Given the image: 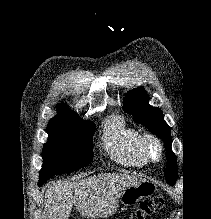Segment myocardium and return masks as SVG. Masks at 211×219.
Returning <instances> with one entry per match:
<instances>
[{"mask_svg":"<svg viewBox=\"0 0 211 219\" xmlns=\"http://www.w3.org/2000/svg\"><path fill=\"white\" fill-rule=\"evenodd\" d=\"M139 151L146 162L156 163L163 156V145L157 136L145 133L139 139Z\"/></svg>","mask_w":211,"mask_h":219,"instance_id":"myocardium-1","label":"myocardium"}]
</instances>
